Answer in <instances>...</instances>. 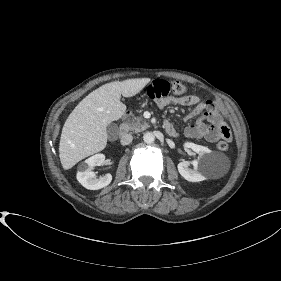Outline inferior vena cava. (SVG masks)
<instances>
[{
	"label": "inferior vena cava",
	"instance_id": "inferior-vena-cava-1",
	"mask_svg": "<svg viewBox=\"0 0 281 281\" xmlns=\"http://www.w3.org/2000/svg\"><path fill=\"white\" fill-rule=\"evenodd\" d=\"M132 140H133V136L131 134H124L121 136L120 142L122 145H128L132 142Z\"/></svg>",
	"mask_w": 281,
	"mask_h": 281
}]
</instances>
